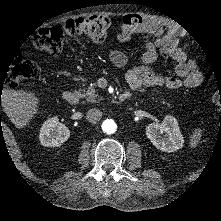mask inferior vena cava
<instances>
[{
	"label": "inferior vena cava",
	"instance_id": "602c4592",
	"mask_svg": "<svg viewBox=\"0 0 221 221\" xmlns=\"http://www.w3.org/2000/svg\"><path fill=\"white\" fill-rule=\"evenodd\" d=\"M102 118V111L98 108H92L89 109L86 113V119L90 122V123H97L98 121H100Z\"/></svg>",
	"mask_w": 221,
	"mask_h": 221
}]
</instances>
